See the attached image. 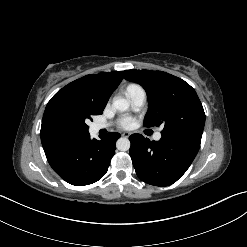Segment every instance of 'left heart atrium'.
I'll return each mask as SVG.
<instances>
[{"label":"left heart atrium","mask_w":247,"mask_h":247,"mask_svg":"<svg viewBox=\"0 0 247 247\" xmlns=\"http://www.w3.org/2000/svg\"><path fill=\"white\" fill-rule=\"evenodd\" d=\"M121 125L124 127V128H129L131 125H132V119L130 118H123L121 120Z\"/></svg>","instance_id":"1"}]
</instances>
